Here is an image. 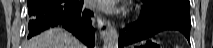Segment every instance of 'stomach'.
Returning <instances> with one entry per match:
<instances>
[{"label": "stomach", "instance_id": "obj_1", "mask_svg": "<svg viewBox=\"0 0 213 48\" xmlns=\"http://www.w3.org/2000/svg\"><path fill=\"white\" fill-rule=\"evenodd\" d=\"M145 44H146V41L142 42L141 44H138L137 47L145 46Z\"/></svg>", "mask_w": 213, "mask_h": 48}]
</instances>
